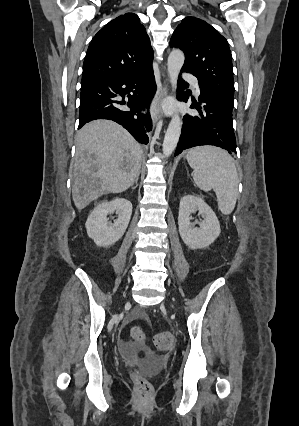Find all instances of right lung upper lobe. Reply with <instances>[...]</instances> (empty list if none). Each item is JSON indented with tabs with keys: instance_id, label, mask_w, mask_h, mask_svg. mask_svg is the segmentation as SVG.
I'll list each match as a JSON object with an SVG mask.
<instances>
[{
	"instance_id": "1",
	"label": "right lung upper lobe",
	"mask_w": 299,
	"mask_h": 426,
	"mask_svg": "<svg viewBox=\"0 0 299 426\" xmlns=\"http://www.w3.org/2000/svg\"><path fill=\"white\" fill-rule=\"evenodd\" d=\"M149 36L134 13L106 24L92 39L83 63L81 83L108 81L152 66Z\"/></svg>"
}]
</instances>
